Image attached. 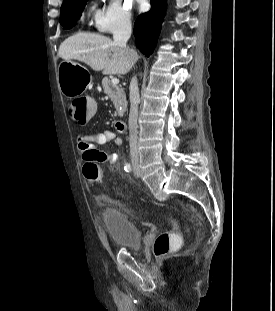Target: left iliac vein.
Wrapping results in <instances>:
<instances>
[{"mask_svg": "<svg viewBox=\"0 0 275 311\" xmlns=\"http://www.w3.org/2000/svg\"><path fill=\"white\" fill-rule=\"evenodd\" d=\"M133 172H134V175L136 177H140V169H139V165H138V160H135L134 161V164H133Z\"/></svg>", "mask_w": 275, "mask_h": 311, "instance_id": "left-iliac-vein-1", "label": "left iliac vein"}]
</instances>
